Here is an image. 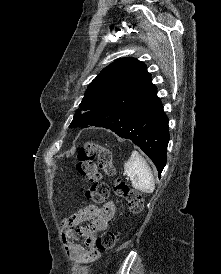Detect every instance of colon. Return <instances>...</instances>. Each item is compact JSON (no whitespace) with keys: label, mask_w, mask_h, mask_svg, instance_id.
I'll use <instances>...</instances> for the list:
<instances>
[{"label":"colon","mask_w":221,"mask_h":274,"mask_svg":"<svg viewBox=\"0 0 221 274\" xmlns=\"http://www.w3.org/2000/svg\"><path fill=\"white\" fill-rule=\"evenodd\" d=\"M76 168L78 173L90 182L86 197L95 203L104 202L110 194V187L103 180L101 171L111 177L115 176L111 150L97 142L85 144L77 153ZM114 191L126 200L130 212L138 213L142 210L143 198L141 194L132 190L122 179H114ZM115 244L116 235L111 231L103 232L96 240V248L105 252L111 251Z\"/></svg>","instance_id":"5ec220e1"}]
</instances>
